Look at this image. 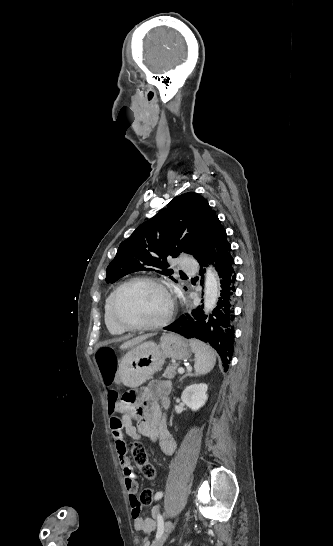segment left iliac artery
Wrapping results in <instances>:
<instances>
[{"instance_id": "obj_1", "label": "left iliac artery", "mask_w": 333, "mask_h": 546, "mask_svg": "<svg viewBox=\"0 0 333 546\" xmlns=\"http://www.w3.org/2000/svg\"><path fill=\"white\" fill-rule=\"evenodd\" d=\"M167 524H170V522H167ZM164 532V521L163 519L159 518L158 519V529H157V533H156V539H158L162 533Z\"/></svg>"}]
</instances>
